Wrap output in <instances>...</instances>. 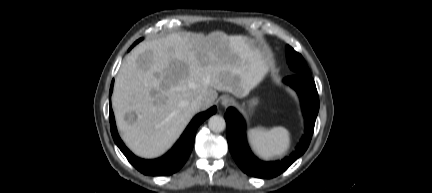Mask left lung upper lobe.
<instances>
[{
    "mask_svg": "<svg viewBox=\"0 0 432 193\" xmlns=\"http://www.w3.org/2000/svg\"><path fill=\"white\" fill-rule=\"evenodd\" d=\"M287 63L296 74L311 75L303 57L289 45L286 46Z\"/></svg>",
    "mask_w": 432,
    "mask_h": 193,
    "instance_id": "5c2ea615",
    "label": "left lung upper lobe"
}]
</instances>
